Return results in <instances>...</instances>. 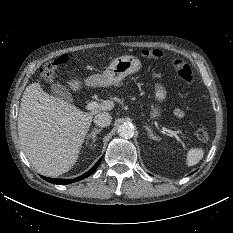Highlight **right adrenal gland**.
<instances>
[{"label": "right adrenal gland", "instance_id": "1", "mask_svg": "<svg viewBox=\"0 0 233 233\" xmlns=\"http://www.w3.org/2000/svg\"><path fill=\"white\" fill-rule=\"evenodd\" d=\"M102 128L100 129H94L89 135L87 138H92V143H95L96 141V136L97 134H99L101 132ZM92 146V145H90Z\"/></svg>", "mask_w": 233, "mask_h": 233}]
</instances>
